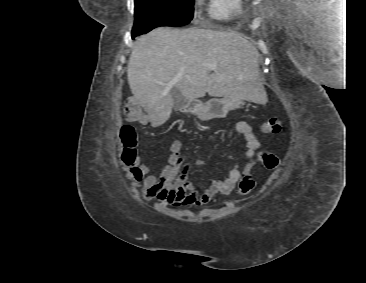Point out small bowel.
I'll return each mask as SVG.
<instances>
[{
    "label": "small bowel",
    "mask_w": 366,
    "mask_h": 283,
    "mask_svg": "<svg viewBox=\"0 0 366 283\" xmlns=\"http://www.w3.org/2000/svg\"><path fill=\"white\" fill-rule=\"evenodd\" d=\"M233 133L241 135L246 141L245 167L255 163V153L261 144L251 124L244 120L238 121L229 130V135ZM182 147L180 140H173L167 164L155 174L151 173L150 168L137 157L132 162L126 163L132 180L136 183L142 182L140 192L143 198L155 199L165 206H201L208 203L216 194L228 195L236 188L245 169L244 167L241 170L238 164L231 167L225 178L213 180L205 190L197 191L189 182L193 163L182 154Z\"/></svg>",
    "instance_id": "small-bowel-1"
}]
</instances>
